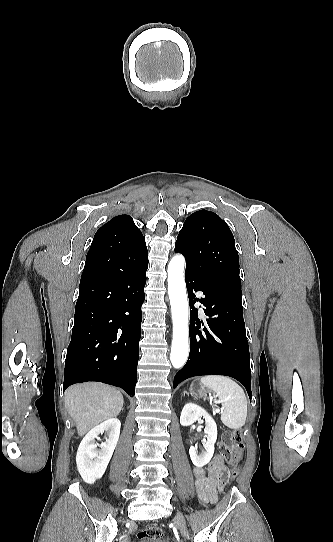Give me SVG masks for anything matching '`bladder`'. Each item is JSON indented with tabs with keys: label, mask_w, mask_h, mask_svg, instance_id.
<instances>
[{
	"label": "bladder",
	"mask_w": 333,
	"mask_h": 542,
	"mask_svg": "<svg viewBox=\"0 0 333 542\" xmlns=\"http://www.w3.org/2000/svg\"><path fill=\"white\" fill-rule=\"evenodd\" d=\"M138 542H168L162 539H153V538H146V539H140Z\"/></svg>",
	"instance_id": "31cf9c89"
}]
</instances>
